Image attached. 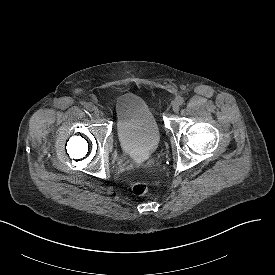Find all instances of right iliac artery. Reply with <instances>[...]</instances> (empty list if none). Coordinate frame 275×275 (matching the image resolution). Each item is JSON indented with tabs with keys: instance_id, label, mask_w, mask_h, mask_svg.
I'll return each mask as SVG.
<instances>
[{
	"instance_id": "obj_1",
	"label": "right iliac artery",
	"mask_w": 275,
	"mask_h": 275,
	"mask_svg": "<svg viewBox=\"0 0 275 275\" xmlns=\"http://www.w3.org/2000/svg\"><path fill=\"white\" fill-rule=\"evenodd\" d=\"M85 108H86L87 111H92L93 105L91 103H87Z\"/></svg>"
}]
</instances>
